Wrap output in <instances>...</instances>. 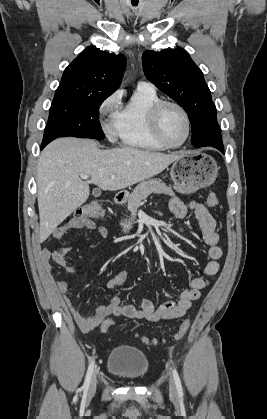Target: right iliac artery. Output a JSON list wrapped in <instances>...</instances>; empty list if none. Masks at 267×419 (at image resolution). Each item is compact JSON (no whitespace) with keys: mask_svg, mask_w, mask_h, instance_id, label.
<instances>
[{"mask_svg":"<svg viewBox=\"0 0 267 419\" xmlns=\"http://www.w3.org/2000/svg\"><path fill=\"white\" fill-rule=\"evenodd\" d=\"M94 364H95V362L91 361V363L88 367V370H87V374H86L85 381H84V384H83V390H84L85 395L88 392V388H89V385H90L92 373H93V370H94Z\"/></svg>","mask_w":267,"mask_h":419,"instance_id":"82829eb1","label":"right iliac artery"}]
</instances>
